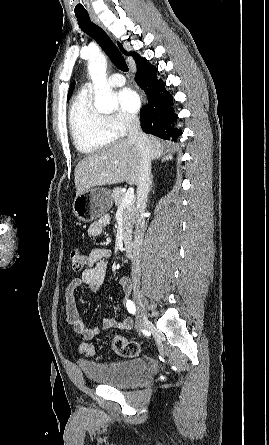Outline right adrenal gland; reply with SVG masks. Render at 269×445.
I'll use <instances>...</instances> for the list:
<instances>
[{"label":"right adrenal gland","instance_id":"right-adrenal-gland-1","mask_svg":"<svg viewBox=\"0 0 269 445\" xmlns=\"http://www.w3.org/2000/svg\"><path fill=\"white\" fill-rule=\"evenodd\" d=\"M152 178H153V176L151 177V187H152Z\"/></svg>","mask_w":269,"mask_h":445}]
</instances>
